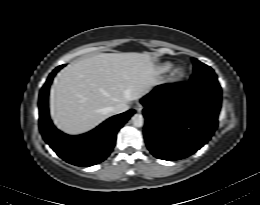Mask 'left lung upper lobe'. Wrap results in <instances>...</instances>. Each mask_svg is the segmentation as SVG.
Masks as SVG:
<instances>
[{"label": "left lung upper lobe", "mask_w": 260, "mask_h": 205, "mask_svg": "<svg viewBox=\"0 0 260 205\" xmlns=\"http://www.w3.org/2000/svg\"><path fill=\"white\" fill-rule=\"evenodd\" d=\"M193 63L194 72L190 79V83L220 88L217 76L209 66L201 63L197 59H193Z\"/></svg>", "instance_id": "1"}]
</instances>
